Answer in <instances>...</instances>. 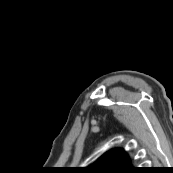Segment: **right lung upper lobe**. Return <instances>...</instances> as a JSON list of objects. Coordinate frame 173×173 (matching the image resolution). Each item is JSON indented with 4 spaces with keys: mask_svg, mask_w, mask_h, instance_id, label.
Wrapping results in <instances>:
<instances>
[{
    "mask_svg": "<svg viewBox=\"0 0 173 173\" xmlns=\"http://www.w3.org/2000/svg\"><path fill=\"white\" fill-rule=\"evenodd\" d=\"M131 166L128 155L124 150H112L100 157L94 164L85 168L89 173H128Z\"/></svg>",
    "mask_w": 173,
    "mask_h": 173,
    "instance_id": "right-lung-upper-lobe-1",
    "label": "right lung upper lobe"
}]
</instances>
